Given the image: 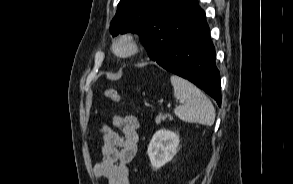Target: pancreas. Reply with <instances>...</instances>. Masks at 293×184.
I'll return each mask as SVG.
<instances>
[{
	"instance_id": "pancreas-1",
	"label": "pancreas",
	"mask_w": 293,
	"mask_h": 184,
	"mask_svg": "<svg viewBox=\"0 0 293 184\" xmlns=\"http://www.w3.org/2000/svg\"><path fill=\"white\" fill-rule=\"evenodd\" d=\"M172 119V116L170 114H163V113H159V115L156 117L155 122L156 124H160L162 121H165V119Z\"/></svg>"
}]
</instances>
